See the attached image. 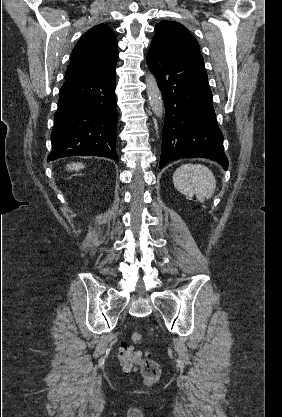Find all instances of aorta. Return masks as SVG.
Returning a JSON list of instances; mask_svg holds the SVG:
<instances>
[{
  "label": "aorta",
  "instance_id": "aorta-1",
  "mask_svg": "<svg viewBox=\"0 0 282 417\" xmlns=\"http://www.w3.org/2000/svg\"><path fill=\"white\" fill-rule=\"evenodd\" d=\"M146 92L148 96V100L150 102V106H152V110L156 116H163L164 106H163V98L161 94V90L157 84V80L154 74H147L146 78Z\"/></svg>",
  "mask_w": 282,
  "mask_h": 417
}]
</instances>
